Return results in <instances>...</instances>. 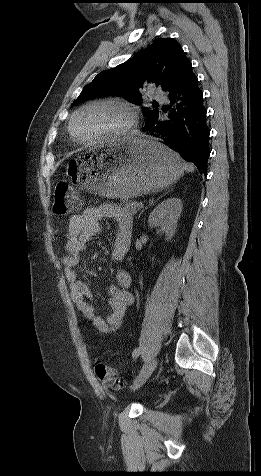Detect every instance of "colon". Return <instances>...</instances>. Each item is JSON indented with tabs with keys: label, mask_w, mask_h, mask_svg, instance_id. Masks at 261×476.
I'll return each mask as SVG.
<instances>
[{
	"label": "colon",
	"mask_w": 261,
	"mask_h": 476,
	"mask_svg": "<svg viewBox=\"0 0 261 476\" xmlns=\"http://www.w3.org/2000/svg\"><path fill=\"white\" fill-rule=\"evenodd\" d=\"M79 205V197L69 182L62 181L56 185L53 210L57 215H66L78 209ZM95 373L100 383L106 387L119 388L123 385L115 370L104 359L96 361Z\"/></svg>",
	"instance_id": "colon-1"
}]
</instances>
